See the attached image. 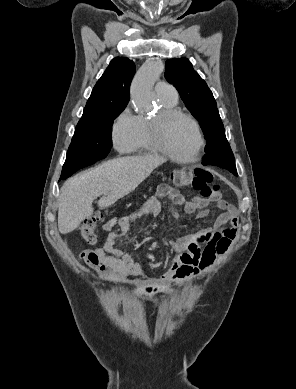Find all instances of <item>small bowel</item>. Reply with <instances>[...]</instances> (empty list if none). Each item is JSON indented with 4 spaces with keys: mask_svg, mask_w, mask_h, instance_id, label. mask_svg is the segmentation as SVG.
<instances>
[{
    "mask_svg": "<svg viewBox=\"0 0 296 389\" xmlns=\"http://www.w3.org/2000/svg\"><path fill=\"white\" fill-rule=\"evenodd\" d=\"M163 197L169 199L175 215H177L176 207L178 206H182L186 213L197 212L201 217L207 213L206 207L209 199L194 197L187 201L177 189L161 185L156 195L149 198L140 209L124 219H111L106 222L104 230L110 234L104 245L95 250L84 251L83 261L103 277L111 280H120L136 273L137 266L133 264L128 254L115 246V243L142 213L157 215L161 209L160 199ZM213 200L223 211L214 226L167 241V245L175 254L167 271L162 275L159 283L147 284L138 290L139 294L151 297L160 292L172 291L175 286L207 271L217 258L228 250L237 236L238 212L232 204L219 197Z\"/></svg>",
    "mask_w": 296,
    "mask_h": 389,
    "instance_id": "small-bowel-1",
    "label": "small bowel"
}]
</instances>
